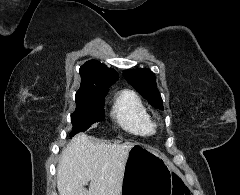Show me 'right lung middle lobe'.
I'll return each mask as SVG.
<instances>
[{"label":"right lung middle lobe","instance_id":"1","mask_svg":"<svg viewBox=\"0 0 240 195\" xmlns=\"http://www.w3.org/2000/svg\"><path fill=\"white\" fill-rule=\"evenodd\" d=\"M76 110L71 116L73 124L70 137L74 136L80 131H86L92 124L100 122L105 118L104 102L105 99H80L75 100Z\"/></svg>","mask_w":240,"mask_h":195}]
</instances>
